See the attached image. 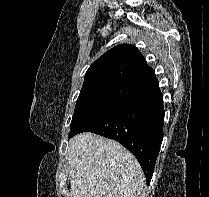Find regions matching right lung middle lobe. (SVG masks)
Listing matches in <instances>:
<instances>
[{
	"instance_id": "right-lung-middle-lobe-1",
	"label": "right lung middle lobe",
	"mask_w": 209,
	"mask_h": 197,
	"mask_svg": "<svg viewBox=\"0 0 209 197\" xmlns=\"http://www.w3.org/2000/svg\"><path fill=\"white\" fill-rule=\"evenodd\" d=\"M137 93V90L115 82H84L69 135Z\"/></svg>"
}]
</instances>
